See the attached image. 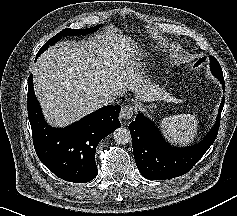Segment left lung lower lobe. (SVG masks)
<instances>
[{
    "instance_id": "left-lung-lower-lobe-1",
    "label": "left lung lower lobe",
    "mask_w": 237,
    "mask_h": 216,
    "mask_svg": "<svg viewBox=\"0 0 237 216\" xmlns=\"http://www.w3.org/2000/svg\"><path fill=\"white\" fill-rule=\"evenodd\" d=\"M224 89V82H222ZM224 97L218 119L204 140L192 147L175 148L164 141L154 124L139 113L129 125L136 165L141 175L150 180H164L187 173L205 154L218 133Z\"/></svg>"
}]
</instances>
